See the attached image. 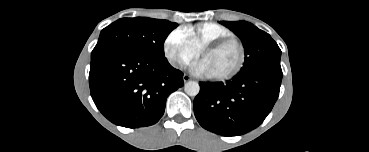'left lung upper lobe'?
Segmentation results:
<instances>
[{"instance_id": "left-lung-upper-lobe-1", "label": "left lung upper lobe", "mask_w": 369, "mask_h": 152, "mask_svg": "<svg viewBox=\"0 0 369 152\" xmlns=\"http://www.w3.org/2000/svg\"><path fill=\"white\" fill-rule=\"evenodd\" d=\"M233 31L242 41L245 62L238 76H248L257 72H282L281 50L269 34L246 21H220Z\"/></svg>"}]
</instances>
